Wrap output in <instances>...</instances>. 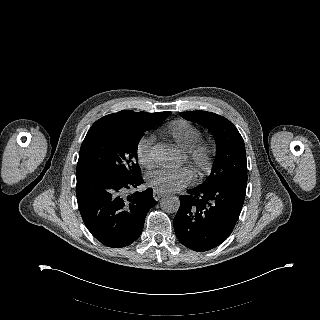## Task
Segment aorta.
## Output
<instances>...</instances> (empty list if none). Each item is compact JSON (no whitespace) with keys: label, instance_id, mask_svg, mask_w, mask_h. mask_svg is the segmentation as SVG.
I'll return each mask as SVG.
<instances>
[{"label":"aorta","instance_id":"aorta-1","mask_svg":"<svg viewBox=\"0 0 320 320\" xmlns=\"http://www.w3.org/2000/svg\"><path fill=\"white\" fill-rule=\"evenodd\" d=\"M151 157L157 164H164L174 158V153L171 148L164 144H158L153 147ZM160 206L167 213H174L179 209L180 202L176 196H166L161 199Z\"/></svg>","mask_w":320,"mask_h":320}]
</instances>
